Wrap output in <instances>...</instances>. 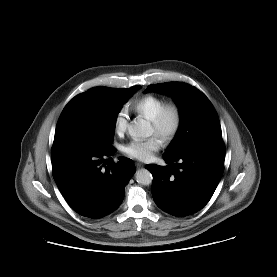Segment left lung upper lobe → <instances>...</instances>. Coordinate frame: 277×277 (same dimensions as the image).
Masks as SVG:
<instances>
[{
	"mask_svg": "<svg viewBox=\"0 0 277 277\" xmlns=\"http://www.w3.org/2000/svg\"><path fill=\"white\" fill-rule=\"evenodd\" d=\"M149 91L171 95L180 111V126L165 151V158L177 159L204 141L222 139L221 126L213 105L195 87L181 82H168L149 85L144 92Z\"/></svg>",
	"mask_w": 277,
	"mask_h": 277,
	"instance_id": "obj_1",
	"label": "left lung upper lobe"
}]
</instances>
